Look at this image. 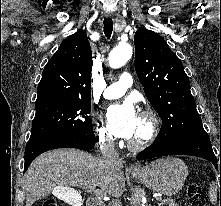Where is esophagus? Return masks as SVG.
<instances>
[{"mask_svg": "<svg viewBox=\"0 0 221 206\" xmlns=\"http://www.w3.org/2000/svg\"><path fill=\"white\" fill-rule=\"evenodd\" d=\"M112 15L111 14H106V17H111ZM129 170H139L140 169V166L138 164H130L128 166Z\"/></svg>", "mask_w": 221, "mask_h": 206, "instance_id": "esophagus-1", "label": "esophagus"}]
</instances>
